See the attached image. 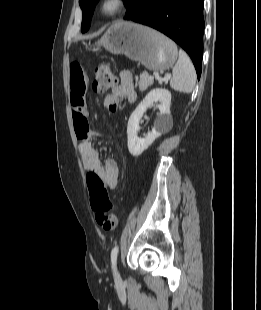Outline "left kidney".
<instances>
[{
  "label": "left kidney",
  "mask_w": 261,
  "mask_h": 310,
  "mask_svg": "<svg viewBox=\"0 0 261 310\" xmlns=\"http://www.w3.org/2000/svg\"><path fill=\"white\" fill-rule=\"evenodd\" d=\"M159 102L160 114L157 117L154 128L143 139L138 138L139 123L148 107ZM171 93L164 88L151 90L139 103L131 114L127 125L128 150L131 155L137 157L157 139L164 130L172 124L170 115Z\"/></svg>",
  "instance_id": "5707ae66"
}]
</instances>
